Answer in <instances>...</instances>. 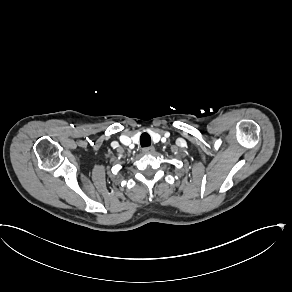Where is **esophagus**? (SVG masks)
Returning <instances> with one entry per match:
<instances>
[{"label": "esophagus", "instance_id": "esophagus-1", "mask_svg": "<svg viewBox=\"0 0 292 292\" xmlns=\"http://www.w3.org/2000/svg\"><path fill=\"white\" fill-rule=\"evenodd\" d=\"M144 154H153L155 152L154 146H147L142 149Z\"/></svg>", "mask_w": 292, "mask_h": 292}]
</instances>
